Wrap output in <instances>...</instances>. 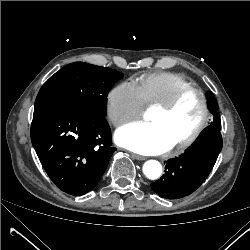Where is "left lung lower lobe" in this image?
I'll list each match as a JSON object with an SVG mask.
<instances>
[{
	"label": "left lung lower lobe",
	"instance_id": "0a47b994",
	"mask_svg": "<svg viewBox=\"0 0 250 250\" xmlns=\"http://www.w3.org/2000/svg\"><path fill=\"white\" fill-rule=\"evenodd\" d=\"M222 144L220 129L207 127L184 154L167 161L165 174L151 184L152 189L167 199L192 193L209 175Z\"/></svg>",
	"mask_w": 250,
	"mask_h": 250
}]
</instances>
